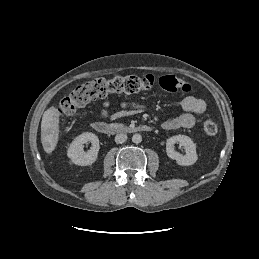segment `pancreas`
Instances as JSON below:
<instances>
[{
	"instance_id": "cf45deb5",
	"label": "pancreas",
	"mask_w": 259,
	"mask_h": 259,
	"mask_svg": "<svg viewBox=\"0 0 259 259\" xmlns=\"http://www.w3.org/2000/svg\"><path fill=\"white\" fill-rule=\"evenodd\" d=\"M114 126H119L118 124H113Z\"/></svg>"
}]
</instances>
